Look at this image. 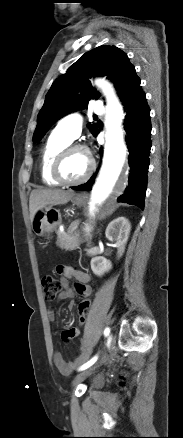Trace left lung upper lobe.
I'll return each instance as SVG.
<instances>
[{"mask_svg":"<svg viewBox=\"0 0 183 438\" xmlns=\"http://www.w3.org/2000/svg\"><path fill=\"white\" fill-rule=\"evenodd\" d=\"M97 75L112 80L119 96L137 77L127 54L116 46L102 45L86 52L52 84L37 117L34 143H39L60 118L86 108L90 99L99 98L100 94L88 80ZM88 127L93 135L97 133L95 124L89 123Z\"/></svg>","mask_w":183,"mask_h":438,"instance_id":"left-lung-upper-lobe-1","label":"left lung upper lobe"}]
</instances>
